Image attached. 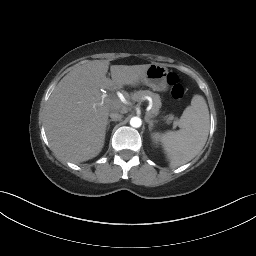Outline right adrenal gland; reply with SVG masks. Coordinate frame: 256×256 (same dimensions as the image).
I'll use <instances>...</instances> for the list:
<instances>
[{
  "label": "right adrenal gland",
  "mask_w": 256,
  "mask_h": 256,
  "mask_svg": "<svg viewBox=\"0 0 256 256\" xmlns=\"http://www.w3.org/2000/svg\"><path fill=\"white\" fill-rule=\"evenodd\" d=\"M110 122H116V120H112V119H111V120H108V121H107V130L109 129V124H110Z\"/></svg>",
  "instance_id": "1"
}]
</instances>
